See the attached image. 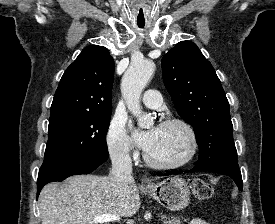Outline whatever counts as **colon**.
Returning <instances> with one entry per match:
<instances>
[{"mask_svg":"<svg viewBox=\"0 0 275 224\" xmlns=\"http://www.w3.org/2000/svg\"><path fill=\"white\" fill-rule=\"evenodd\" d=\"M191 190L194 198L197 201H204L209 199L214 192L213 187L201 179H195L192 181Z\"/></svg>","mask_w":275,"mask_h":224,"instance_id":"obj_1","label":"colon"}]
</instances>
